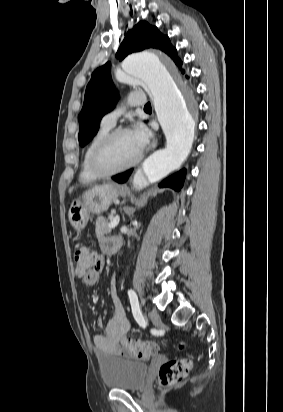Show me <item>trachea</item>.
<instances>
[{"label": "trachea", "instance_id": "1", "mask_svg": "<svg viewBox=\"0 0 283 412\" xmlns=\"http://www.w3.org/2000/svg\"><path fill=\"white\" fill-rule=\"evenodd\" d=\"M144 109H151V104H150V103H147V104L145 105Z\"/></svg>", "mask_w": 283, "mask_h": 412}]
</instances>
